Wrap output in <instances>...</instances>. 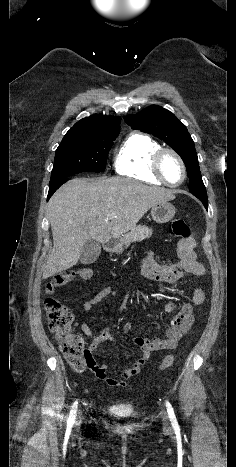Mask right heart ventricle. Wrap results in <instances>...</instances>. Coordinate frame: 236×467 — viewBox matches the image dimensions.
Here are the masks:
<instances>
[{"label": "right heart ventricle", "mask_w": 236, "mask_h": 467, "mask_svg": "<svg viewBox=\"0 0 236 467\" xmlns=\"http://www.w3.org/2000/svg\"><path fill=\"white\" fill-rule=\"evenodd\" d=\"M159 149L161 145L152 137L132 133L119 146L114 169L121 176L160 185L162 182L152 172V159Z\"/></svg>", "instance_id": "obj_1"}]
</instances>
